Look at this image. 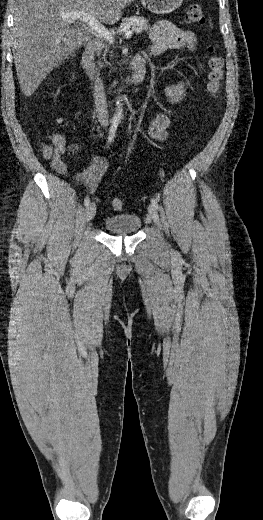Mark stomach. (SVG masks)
<instances>
[{
	"label": "stomach",
	"mask_w": 263,
	"mask_h": 520,
	"mask_svg": "<svg viewBox=\"0 0 263 520\" xmlns=\"http://www.w3.org/2000/svg\"><path fill=\"white\" fill-rule=\"evenodd\" d=\"M141 2L151 13L164 15L179 8L183 0H141Z\"/></svg>",
	"instance_id": "obj_1"
}]
</instances>
